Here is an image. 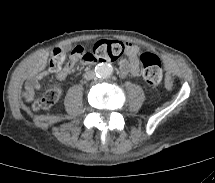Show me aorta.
Listing matches in <instances>:
<instances>
[{
    "label": "aorta",
    "mask_w": 215,
    "mask_h": 183,
    "mask_svg": "<svg viewBox=\"0 0 215 183\" xmlns=\"http://www.w3.org/2000/svg\"><path fill=\"white\" fill-rule=\"evenodd\" d=\"M113 73V68L110 64L100 63L95 67V74L98 77L107 78Z\"/></svg>",
    "instance_id": "aorta-1"
}]
</instances>
